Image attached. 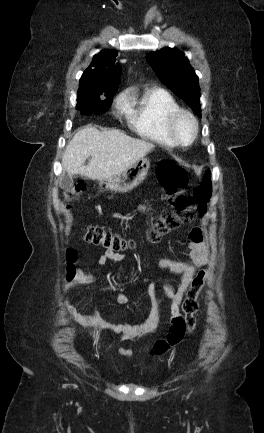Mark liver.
<instances>
[{
    "mask_svg": "<svg viewBox=\"0 0 264 433\" xmlns=\"http://www.w3.org/2000/svg\"><path fill=\"white\" fill-rule=\"evenodd\" d=\"M153 149L152 143L132 138L120 130L99 131L86 126L68 142L62 166L71 177L80 174L101 181L121 175ZM88 157L91 160L84 165Z\"/></svg>",
    "mask_w": 264,
    "mask_h": 433,
    "instance_id": "1",
    "label": "liver"
}]
</instances>
